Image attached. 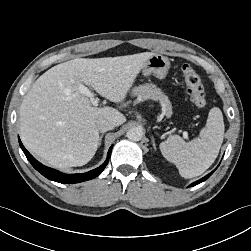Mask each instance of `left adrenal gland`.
<instances>
[{"label":"left adrenal gland","instance_id":"obj_1","mask_svg":"<svg viewBox=\"0 0 251 251\" xmlns=\"http://www.w3.org/2000/svg\"><path fill=\"white\" fill-rule=\"evenodd\" d=\"M152 142H153V147H154V149H156L155 139H154L153 136H152Z\"/></svg>","mask_w":251,"mask_h":251}]
</instances>
